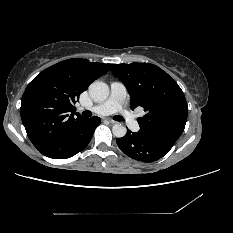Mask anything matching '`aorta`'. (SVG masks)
<instances>
[{
	"label": "aorta",
	"instance_id": "obj_1",
	"mask_svg": "<svg viewBox=\"0 0 233 233\" xmlns=\"http://www.w3.org/2000/svg\"><path fill=\"white\" fill-rule=\"evenodd\" d=\"M90 97L96 102H102L109 96V87L102 81H95L89 86ZM114 136L121 138L126 135L127 129L121 124H115L112 127Z\"/></svg>",
	"mask_w": 233,
	"mask_h": 233
}]
</instances>
